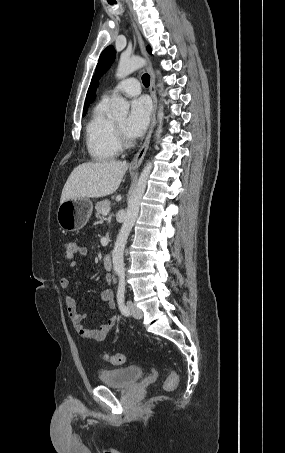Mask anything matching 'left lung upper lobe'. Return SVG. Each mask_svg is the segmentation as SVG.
<instances>
[{
  "instance_id": "obj_1",
  "label": "left lung upper lobe",
  "mask_w": 285,
  "mask_h": 453,
  "mask_svg": "<svg viewBox=\"0 0 285 453\" xmlns=\"http://www.w3.org/2000/svg\"><path fill=\"white\" fill-rule=\"evenodd\" d=\"M147 50L151 53V48L148 46ZM115 59V49L113 46H108L100 55L99 62L96 67L95 74L98 78L110 67Z\"/></svg>"
}]
</instances>
